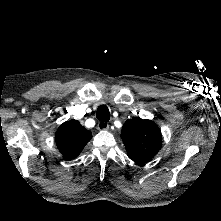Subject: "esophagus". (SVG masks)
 Here are the masks:
<instances>
[{
    "label": "esophagus",
    "mask_w": 221,
    "mask_h": 221,
    "mask_svg": "<svg viewBox=\"0 0 221 221\" xmlns=\"http://www.w3.org/2000/svg\"><path fill=\"white\" fill-rule=\"evenodd\" d=\"M97 129L102 131V130H108L109 129V124L106 122H99L97 124Z\"/></svg>",
    "instance_id": "34e87169"
}]
</instances>
